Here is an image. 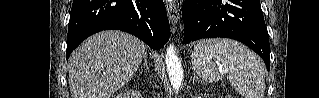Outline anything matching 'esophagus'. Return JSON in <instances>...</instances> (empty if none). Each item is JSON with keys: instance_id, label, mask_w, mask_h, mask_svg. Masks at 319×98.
Masks as SVG:
<instances>
[{"instance_id": "esophagus-1", "label": "esophagus", "mask_w": 319, "mask_h": 98, "mask_svg": "<svg viewBox=\"0 0 319 98\" xmlns=\"http://www.w3.org/2000/svg\"><path fill=\"white\" fill-rule=\"evenodd\" d=\"M166 9H167L169 22L171 23V25L174 26L175 24H177V22L180 19L178 7L174 3H168L166 5Z\"/></svg>"}]
</instances>
